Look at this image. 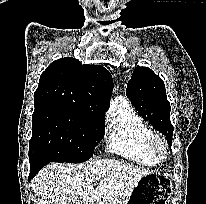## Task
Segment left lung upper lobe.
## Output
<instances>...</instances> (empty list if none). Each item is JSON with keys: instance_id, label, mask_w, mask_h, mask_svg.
I'll return each mask as SVG.
<instances>
[{"instance_id": "5c2ea615", "label": "left lung upper lobe", "mask_w": 206, "mask_h": 204, "mask_svg": "<svg viewBox=\"0 0 206 204\" xmlns=\"http://www.w3.org/2000/svg\"><path fill=\"white\" fill-rule=\"evenodd\" d=\"M126 94L138 114L153 128L166 135L171 146L173 125L170 121V103L162 79L147 67H137L127 84Z\"/></svg>"}]
</instances>
